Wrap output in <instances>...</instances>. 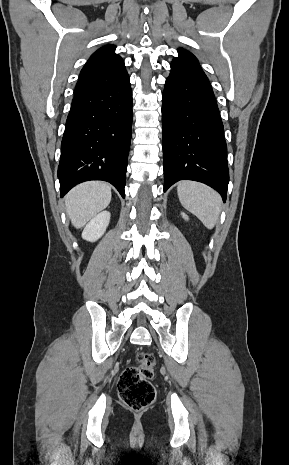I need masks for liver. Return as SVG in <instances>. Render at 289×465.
I'll list each match as a JSON object with an SVG mask.
<instances>
[{
    "label": "liver",
    "instance_id": "liver-1",
    "mask_svg": "<svg viewBox=\"0 0 289 465\" xmlns=\"http://www.w3.org/2000/svg\"><path fill=\"white\" fill-rule=\"evenodd\" d=\"M111 201V187L104 182L92 181L73 188L65 197L66 212L72 225L79 229Z\"/></svg>",
    "mask_w": 289,
    "mask_h": 465
}]
</instances>
